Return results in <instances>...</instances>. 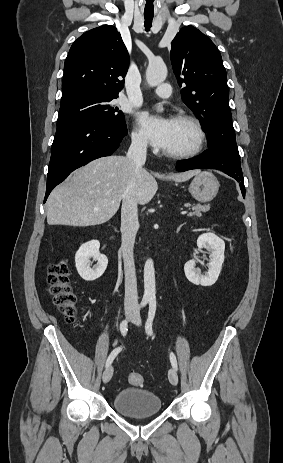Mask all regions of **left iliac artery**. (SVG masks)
I'll return each instance as SVG.
<instances>
[{"label":"left iliac artery","instance_id":"1","mask_svg":"<svg viewBox=\"0 0 283 463\" xmlns=\"http://www.w3.org/2000/svg\"><path fill=\"white\" fill-rule=\"evenodd\" d=\"M155 312H156V300L151 299L149 301L148 318L145 324V331L148 335L153 334L152 324H153V319L155 317ZM170 362L172 364V367L177 370V360H176L175 355L172 352L170 353Z\"/></svg>","mask_w":283,"mask_h":463}]
</instances>
